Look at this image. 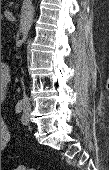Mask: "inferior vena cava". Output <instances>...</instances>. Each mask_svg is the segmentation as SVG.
<instances>
[{"label": "inferior vena cava", "instance_id": "inferior-vena-cava-1", "mask_svg": "<svg viewBox=\"0 0 109 170\" xmlns=\"http://www.w3.org/2000/svg\"><path fill=\"white\" fill-rule=\"evenodd\" d=\"M23 103L25 104V107L27 109H30V103H29L28 97L26 96L25 92L23 93Z\"/></svg>", "mask_w": 109, "mask_h": 170}]
</instances>
